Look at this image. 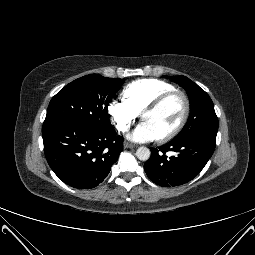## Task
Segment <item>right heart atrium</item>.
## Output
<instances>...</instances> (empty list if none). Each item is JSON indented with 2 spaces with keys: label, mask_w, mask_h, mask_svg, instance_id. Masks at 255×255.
Here are the masks:
<instances>
[{
  "label": "right heart atrium",
  "mask_w": 255,
  "mask_h": 255,
  "mask_svg": "<svg viewBox=\"0 0 255 255\" xmlns=\"http://www.w3.org/2000/svg\"><path fill=\"white\" fill-rule=\"evenodd\" d=\"M107 111L110 120L121 133L127 132L138 118V114L125 101H110Z\"/></svg>",
  "instance_id": "obj_1"
}]
</instances>
